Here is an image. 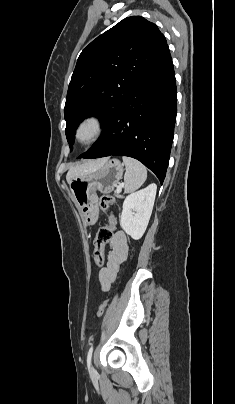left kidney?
<instances>
[{
    "label": "left kidney",
    "mask_w": 235,
    "mask_h": 404,
    "mask_svg": "<svg viewBox=\"0 0 235 404\" xmlns=\"http://www.w3.org/2000/svg\"><path fill=\"white\" fill-rule=\"evenodd\" d=\"M157 186L148 187L128 195L123 203L121 227L134 240H139L146 231L151 217Z\"/></svg>",
    "instance_id": "obj_1"
}]
</instances>
